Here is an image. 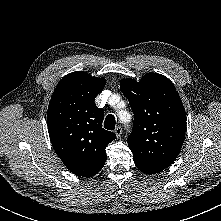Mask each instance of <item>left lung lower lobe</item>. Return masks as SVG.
I'll return each instance as SVG.
<instances>
[{"instance_id": "1", "label": "left lung lower lobe", "mask_w": 221, "mask_h": 221, "mask_svg": "<svg viewBox=\"0 0 221 221\" xmlns=\"http://www.w3.org/2000/svg\"><path fill=\"white\" fill-rule=\"evenodd\" d=\"M139 170H141L144 173L147 174H155V173H159L161 171H163V169H152V168H144V167H139L137 166Z\"/></svg>"}]
</instances>
